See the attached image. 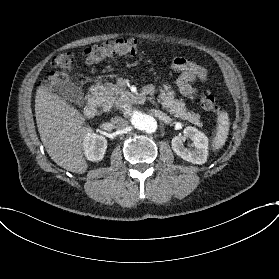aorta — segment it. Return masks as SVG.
<instances>
[{"mask_svg": "<svg viewBox=\"0 0 279 279\" xmlns=\"http://www.w3.org/2000/svg\"><path fill=\"white\" fill-rule=\"evenodd\" d=\"M126 110V112L131 115V122L135 128L146 133H154L156 131L157 122L152 116L144 114L140 111H132L129 106H126Z\"/></svg>", "mask_w": 279, "mask_h": 279, "instance_id": "762f6f07", "label": "aorta"}]
</instances>
